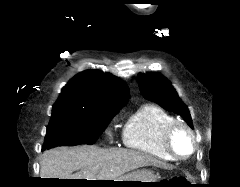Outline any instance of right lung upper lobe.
I'll return each instance as SVG.
<instances>
[{"label": "right lung upper lobe", "instance_id": "1", "mask_svg": "<svg viewBox=\"0 0 240 187\" xmlns=\"http://www.w3.org/2000/svg\"><path fill=\"white\" fill-rule=\"evenodd\" d=\"M128 97L129 89L119 78L99 70H87L76 75L63 87L53 108L119 110Z\"/></svg>", "mask_w": 240, "mask_h": 187}]
</instances>
